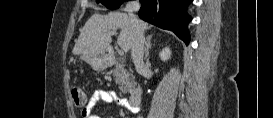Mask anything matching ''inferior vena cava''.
I'll list each match as a JSON object with an SVG mask.
<instances>
[{"label": "inferior vena cava", "instance_id": "inferior-vena-cava-1", "mask_svg": "<svg viewBox=\"0 0 273 118\" xmlns=\"http://www.w3.org/2000/svg\"><path fill=\"white\" fill-rule=\"evenodd\" d=\"M139 8L140 3L138 0L131 1L126 5V11L128 12L135 27V35L131 47V56L136 70L138 72H141L145 69V65L143 62L145 38L139 24V20L134 14V12L138 11Z\"/></svg>", "mask_w": 273, "mask_h": 118}]
</instances>
